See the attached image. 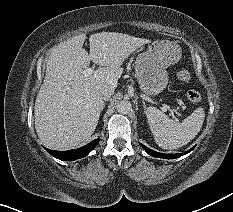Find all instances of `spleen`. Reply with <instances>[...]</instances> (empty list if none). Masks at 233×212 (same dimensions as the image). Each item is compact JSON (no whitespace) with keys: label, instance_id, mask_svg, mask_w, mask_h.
Segmentation results:
<instances>
[{"label":"spleen","instance_id":"3e777b00","mask_svg":"<svg viewBox=\"0 0 233 212\" xmlns=\"http://www.w3.org/2000/svg\"><path fill=\"white\" fill-rule=\"evenodd\" d=\"M148 124L156 144L162 149H177L189 143L201 130L205 113L198 107L182 122L168 118L162 111L155 107L145 110Z\"/></svg>","mask_w":233,"mask_h":212}]
</instances>
